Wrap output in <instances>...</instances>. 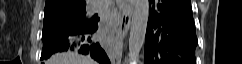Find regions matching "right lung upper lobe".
<instances>
[{
	"instance_id": "1",
	"label": "right lung upper lobe",
	"mask_w": 242,
	"mask_h": 64,
	"mask_svg": "<svg viewBox=\"0 0 242 64\" xmlns=\"http://www.w3.org/2000/svg\"><path fill=\"white\" fill-rule=\"evenodd\" d=\"M85 5V0H46L45 13L55 10L76 9Z\"/></svg>"
}]
</instances>
